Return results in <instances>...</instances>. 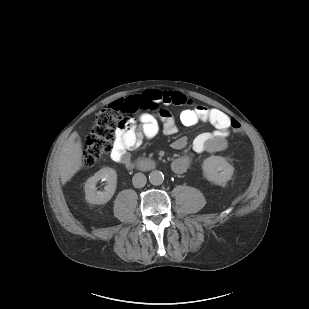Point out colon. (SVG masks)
<instances>
[{"label": "colon", "mask_w": 309, "mask_h": 309, "mask_svg": "<svg viewBox=\"0 0 309 309\" xmlns=\"http://www.w3.org/2000/svg\"><path fill=\"white\" fill-rule=\"evenodd\" d=\"M130 104L129 98L119 100L98 112L90 135L83 143L81 165L84 168L94 166L99 159L112 151L116 132L131 123L128 116L132 112ZM231 126L235 133L244 135L237 120H232Z\"/></svg>", "instance_id": "colon-1"}]
</instances>
